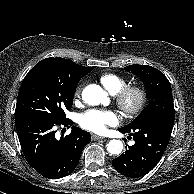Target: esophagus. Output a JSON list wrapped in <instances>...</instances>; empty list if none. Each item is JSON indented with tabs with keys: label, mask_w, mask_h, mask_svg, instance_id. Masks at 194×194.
Here are the masks:
<instances>
[{
	"label": "esophagus",
	"mask_w": 194,
	"mask_h": 194,
	"mask_svg": "<svg viewBox=\"0 0 194 194\" xmlns=\"http://www.w3.org/2000/svg\"><path fill=\"white\" fill-rule=\"evenodd\" d=\"M92 140H104L105 138L102 136H98L96 134H91Z\"/></svg>",
	"instance_id": "obj_1"
}]
</instances>
